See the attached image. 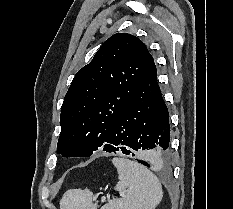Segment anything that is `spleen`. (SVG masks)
Masks as SVG:
<instances>
[{
  "label": "spleen",
  "mask_w": 233,
  "mask_h": 209,
  "mask_svg": "<svg viewBox=\"0 0 233 209\" xmlns=\"http://www.w3.org/2000/svg\"><path fill=\"white\" fill-rule=\"evenodd\" d=\"M118 179L115 189L126 192L122 198H113L101 209H155L163 197L158 178L138 162L125 158H113ZM95 197L88 190L71 189L65 192L60 209H97Z\"/></svg>",
  "instance_id": "1"
}]
</instances>
